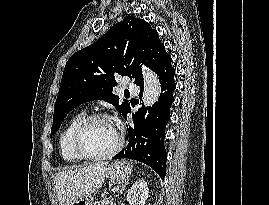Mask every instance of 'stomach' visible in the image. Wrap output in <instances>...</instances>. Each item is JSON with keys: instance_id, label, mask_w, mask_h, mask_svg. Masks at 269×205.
<instances>
[{"instance_id": "0dacf381", "label": "stomach", "mask_w": 269, "mask_h": 205, "mask_svg": "<svg viewBox=\"0 0 269 205\" xmlns=\"http://www.w3.org/2000/svg\"><path fill=\"white\" fill-rule=\"evenodd\" d=\"M133 165L125 160L112 163L106 170V177L112 183H123L132 173ZM70 205H92V201L88 196H83L75 199Z\"/></svg>"}]
</instances>
